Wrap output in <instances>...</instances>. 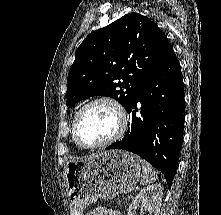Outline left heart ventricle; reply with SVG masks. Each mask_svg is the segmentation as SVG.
Masks as SVG:
<instances>
[{
	"mask_svg": "<svg viewBox=\"0 0 221 215\" xmlns=\"http://www.w3.org/2000/svg\"><path fill=\"white\" fill-rule=\"evenodd\" d=\"M119 118L116 110L108 103H96L82 113L78 132L88 144H96L110 138L117 130Z\"/></svg>",
	"mask_w": 221,
	"mask_h": 215,
	"instance_id": "b2bd125f",
	"label": "left heart ventricle"
}]
</instances>
